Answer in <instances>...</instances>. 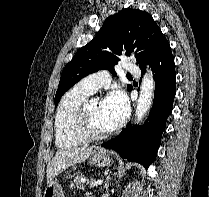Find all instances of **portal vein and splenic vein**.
<instances>
[{"label":"portal vein and splenic vein","mask_w":209,"mask_h":197,"mask_svg":"<svg viewBox=\"0 0 209 197\" xmlns=\"http://www.w3.org/2000/svg\"><path fill=\"white\" fill-rule=\"evenodd\" d=\"M102 183H103L102 180L93 181L90 183V187H95V186L101 185Z\"/></svg>","instance_id":"18ae733b"}]
</instances>
